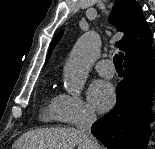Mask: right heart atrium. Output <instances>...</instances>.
Instances as JSON below:
<instances>
[{"instance_id": "d8ad5b80", "label": "right heart atrium", "mask_w": 155, "mask_h": 149, "mask_svg": "<svg viewBox=\"0 0 155 149\" xmlns=\"http://www.w3.org/2000/svg\"><path fill=\"white\" fill-rule=\"evenodd\" d=\"M59 120L67 125L91 124L96 120L93 109L76 94L62 93L58 97Z\"/></svg>"}]
</instances>
